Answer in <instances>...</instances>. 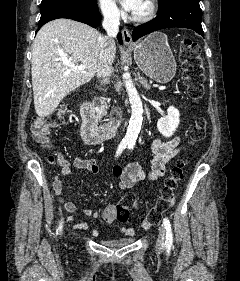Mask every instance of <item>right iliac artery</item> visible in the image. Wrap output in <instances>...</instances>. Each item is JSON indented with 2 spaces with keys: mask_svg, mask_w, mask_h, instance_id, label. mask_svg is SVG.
Returning <instances> with one entry per match:
<instances>
[{
  "mask_svg": "<svg viewBox=\"0 0 240 281\" xmlns=\"http://www.w3.org/2000/svg\"><path fill=\"white\" fill-rule=\"evenodd\" d=\"M127 143L126 142H121L118 146L117 152H116V156H119L122 151L126 148ZM58 230L61 231L62 230V221L60 222V225L58 227Z\"/></svg>",
  "mask_w": 240,
  "mask_h": 281,
  "instance_id": "obj_1",
  "label": "right iliac artery"
}]
</instances>
